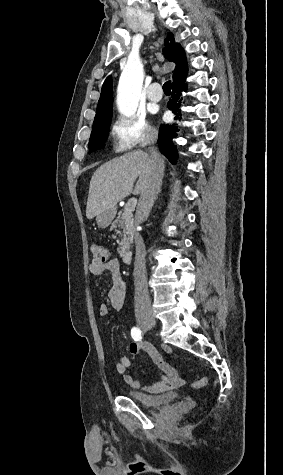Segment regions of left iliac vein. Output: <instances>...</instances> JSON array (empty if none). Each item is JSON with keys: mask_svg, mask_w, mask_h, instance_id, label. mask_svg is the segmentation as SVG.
Wrapping results in <instances>:
<instances>
[{"mask_svg": "<svg viewBox=\"0 0 283 475\" xmlns=\"http://www.w3.org/2000/svg\"><path fill=\"white\" fill-rule=\"evenodd\" d=\"M149 328H145V331L148 330Z\"/></svg>", "mask_w": 283, "mask_h": 475, "instance_id": "1", "label": "left iliac vein"}]
</instances>
